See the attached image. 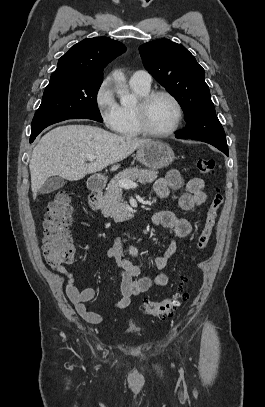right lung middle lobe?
Returning <instances> with one entry per match:
<instances>
[{"instance_id": "1", "label": "right lung middle lobe", "mask_w": 265, "mask_h": 407, "mask_svg": "<svg viewBox=\"0 0 265 407\" xmlns=\"http://www.w3.org/2000/svg\"><path fill=\"white\" fill-rule=\"evenodd\" d=\"M101 83L64 74L51 76L34 115L31 136L35 137L47 126L67 119L88 118L102 122L97 106Z\"/></svg>"}]
</instances>
